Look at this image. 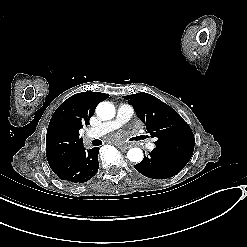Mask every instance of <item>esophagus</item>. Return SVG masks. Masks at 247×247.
I'll return each instance as SVG.
<instances>
[{
  "label": "esophagus",
  "instance_id": "1",
  "mask_svg": "<svg viewBox=\"0 0 247 247\" xmlns=\"http://www.w3.org/2000/svg\"><path fill=\"white\" fill-rule=\"evenodd\" d=\"M131 147V145L129 144H120L119 145V148L122 150V151H125L127 149H129Z\"/></svg>",
  "mask_w": 247,
  "mask_h": 247
}]
</instances>
